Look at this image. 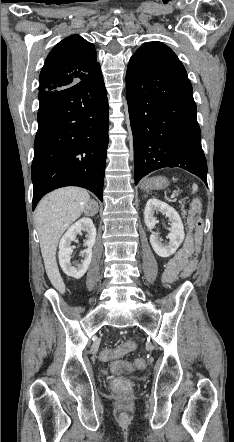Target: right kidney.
Returning <instances> with one entry per match:
<instances>
[{"label":"right kidney","mask_w":234,"mask_h":442,"mask_svg":"<svg viewBox=\"0 0 234 442\" xmlns=\"http://www.w3.org/2000/svg\"><path fill=\"white\" fill-rule=\"evenodd\" d=\"M81 231L87 232V240L85 242L87 249L80 252V255L83 258L81 264L72 266L70 255L73 252V247H71V242L76 239V235L81 233ZM95 241L96 228L89 217H83L69 227L60 240L58 254L60 266L68 276L75 279H80L84 276L91 263L92 247L94 246Z\"/></svg>","instance_id":"1"}]
</instances>
